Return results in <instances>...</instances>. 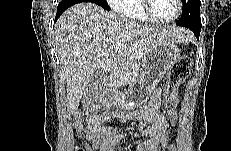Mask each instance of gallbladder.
Returning a JSON list of instances; mask_svg holds the SVG:
<instances>
[{
    "instance_id": "obj_1",
    "label": "gallbladder",
    "mask_w": 231,
    "mask_h": 151,
    "mask_svg": "<svg viewBox=\"0 0 231 151\" xmlns=\"http://www.w3.org/2000/svg\"><path fill=\"white\" fill-rule=\"evenodd\" d=\"M100 70L96 69L94 72V75L92 77V79L89 81V83L86 86V90L84 92V98L88 99L89 97H93V90L92 88L99 84L100 82Z\"/></svg>"
}]
</instances>
